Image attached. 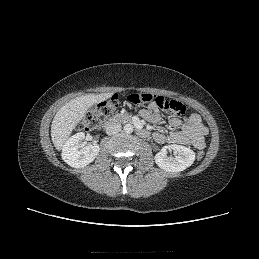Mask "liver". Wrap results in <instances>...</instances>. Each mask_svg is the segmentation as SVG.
<instances>
[{"mask_svg":"<svg viewBox=\"0 0 259 259\" xmlns=\"http://www.w3.org/2000/svg\"><path fill=\"white\" fill-rule=\"evenodd\" d=\"M111 96L112 93L88 94L76 97L62 106L55 114L51 124V138L54 147L61 150L87 110Z\"/></svg>","mask_w":259,"mask_h":259,"instance_id":"1","label":"liver"}]
</instances>
